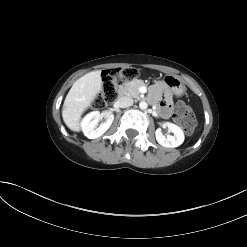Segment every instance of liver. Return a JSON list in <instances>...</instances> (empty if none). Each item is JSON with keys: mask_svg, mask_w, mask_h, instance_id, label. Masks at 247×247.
<instances>
[{"mask_svg": "<svg viewBox=\"0 0 247 247\" xmlns=\"http://www.w3.org/2000/svg\"><path fill=\"white\" fill-rule=\"evenodd\" d=\"M102 88L101 71H92L79 78L69 90L62 110V117L69 129L80 131L84 111L92 104Z\"/></svg>", "mask_w": 247, "mask_h": 247, "instance_id": "6515ba94", "label": "liver"}]
</instances>
